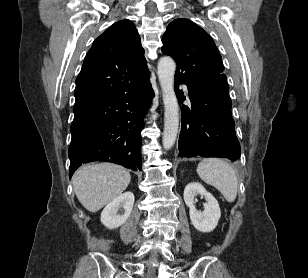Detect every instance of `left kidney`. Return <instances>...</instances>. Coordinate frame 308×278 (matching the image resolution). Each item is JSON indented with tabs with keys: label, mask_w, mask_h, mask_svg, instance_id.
Here are the masks:
<instances>
[{
	"label": "left kidney",
	"mask_w": 308,
	"mask_h": 278,
	"mask_svg": "<svg viewBox=\"0 0 308 278\" xmlns=\"http://www.w3.org/2000/svg\"><path fill=\"white\" fill-rule=\"evenodd\" d=\"M201 195L205 198L204 210L197 211L194 203L195 197ZM184 201L189 207L191 223L200 232L213 231L221 217L218 201L199 183H189L184 189Z\"/></svg>",
	"instance_id": "1"
}]
</instances>
